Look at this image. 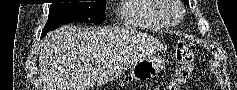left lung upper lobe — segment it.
I'll use <instances>...</instances> for the list:
<instances>
[{
    "label": "left lung upper lobe",
    "mask_w": 237,
    "mask_h": 90,
    "mask_svg": "<svg viewBox=\"0 0 237 90\" xmlns=\"http://www.w3.org/2000/svg\"><path fill=\"white\" fill-rule=\"evenodd\" d=\"M184 2H185L187 5L189 4L188 0H184Z\"/></svg>",
    "instance_id": "5c2ea615"
}]
</instances>
